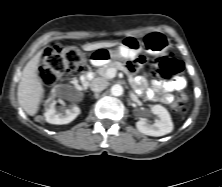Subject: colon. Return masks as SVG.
<instances>
[{"mask_svg":"<svg viewBox=\"0 0 222 187\" xmlns=\"http://www.w3.org/2000/svg\"><path fill=\"white\" fill-rule=\"evenodd\" d=\"M142 66H147V61L141 60ZM83 65L82 53L69 46H55L48 49L44 55L39 69V77L46 86H53L63 75L78 71ZM182 70V63L168 56L159 58L155 62V72L161 78L177 77ZM186 94H180L173 107L177 111L186 110Z\"/></svg>","mask_w":222,"mask_h":187,"instance_id":"1","label":"colon"}]
</instances>
